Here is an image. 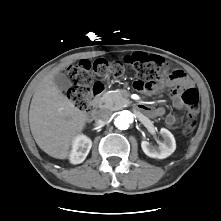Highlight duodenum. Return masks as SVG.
I'll list each match as a JSON object with an SVG mask.
<instances>
[{"mask_svg":"<svg viewBox=\"0 0 221 221\" xmlns=\"http://www.w3.org/2000/svg\"><path fill=\"white\" fill-rule=\"evenodd\" d=\"M104 91H105V85L101 82H96L91 87V94L89 98L90 99L89 108L84 113L87 117H89L92 114L93 108L95 107V105L99 103L100 96ZM139 109L144 112L146 111L144 106H141Z\"/></svg>","mask_w":221,"mask_h":221,"instance_id":"1","label":"duodenum"}]
</instances>
